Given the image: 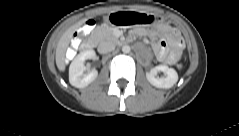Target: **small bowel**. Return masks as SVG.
<instances>
[{"label":"small bowel","instance_id":"small-bowel-1","mask_svg":"<svg viewBox=\"0 0 239 136\" xmlns=\"http://www.w3.org/2000/svg\"><path fill=\"white\" fill-rule=\"evenodd\" d=\"M169 36L172 39L173 48H168V43L165 40H161L155 47L157 58L160 62L166 65H173L177 60L181 58L182 39L179 37L176 31L168 28ZM142 29H134L135 35H141Z\"/></svg>","mask_w":239,"mask_h":136}]
</instances>
